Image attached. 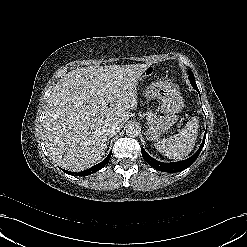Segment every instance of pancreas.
Listing matches in <instances>:
<instances>
[{"instance_id":"obj_1","label":"pancreas","mask_w":247,"mask_h":247,"mask_svg":"<svg viewBox=\"0 0 247 247\" xmlns=\"http://www.w3.org/2000/svg\"><path fill=\"white\" fill-rule=\"evenodd\" d=\"M147 124L156 125L161 122L167 121V118H158L151 110L146 112Z\"/></svg>"}]
</instances>
